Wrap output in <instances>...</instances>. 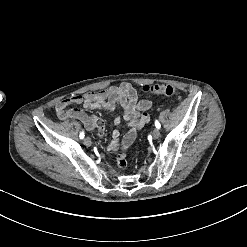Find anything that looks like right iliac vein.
Segmentation results:
<instances>
[{"label": "right iliac vein", "mask_w": 247, "mask_h": 247, "mask_svg": "<svg viewBox=\"0 0 247 247\" xmlns=\"http://www.w3.org/2000/svg\"><path fill=\"white\" fill-rule=\"evenodd\" d=\"M83 141H84V144H85L87 147H90L91 144H92V140H91V138H89V137H86Z\"/></svg>", "instance_id": "obj_1"}]
</instances>
